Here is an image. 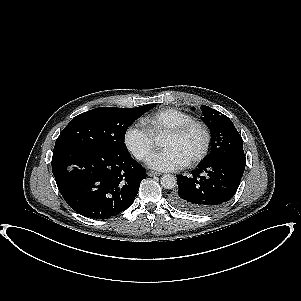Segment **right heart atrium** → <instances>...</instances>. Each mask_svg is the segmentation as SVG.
Returning <instances> with one entry per match:
<instances>
[{
  "instance_id": "obj_1",
  "label": "right heart atrium",
  "mask_w": 301,
  "mask_h": 301,
  "mask_svg": "<svg viewBox=\"0 0 301 301\" xmlns=\"http://www.w3.org/2000/svg\"><path fill=\"white\" fill-rule=\"evenodd\" d=\"M125 144L141 160H145L156 147L152 134L148 130L136 126H131L127 129Z\"/></svg>"
}]
</instances>
